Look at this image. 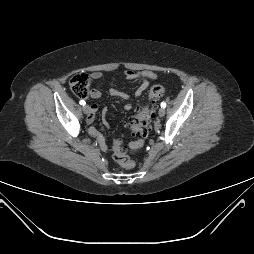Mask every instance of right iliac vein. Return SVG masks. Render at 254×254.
<instances>
[{
	"instance_id": "63e3f726",
	"label": "right iliac vein",
	"mask_w": 254,
	"mask_h": 254,
	"mask_svg": "<svg viewBox=\"0 0 254 254\" xmlns=\"http://www.w3.org/2000/svg\"><path fill=\"white\" fill-rule=\"evenodd\" d=\"M82 109L85 114H88L90 112V107L88 105H84Z\"/></svg>"
}]
</instances>
